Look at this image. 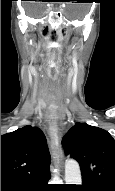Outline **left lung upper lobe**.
I'll list each match as a JSON object with an SVG mask.
<instances>
[{
  "mask_svg": "<svg viewBox=\"0 0 115 191\" xmlns=\"http://www.w3.org/2000/svg\"><path fill=\"white\" fill-rule=\"evenodd\" d=\"M62 144L66 154L79 162L83 185L115 191V140L106 130L76 123Z\"/></svg>",
  "mask_w": 115,
  "mask_h": 191,
  "instance_id": "left-lung-upper-lobe-1",
  "label": "left lung upper lobe"
}]
</instances>
